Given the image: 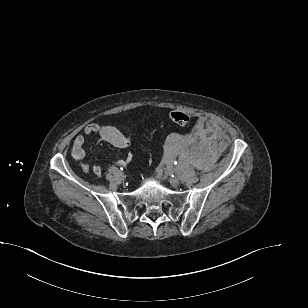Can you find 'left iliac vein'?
<instances>
[{
  "label": "left iliac vein",
  "mask_w": 308,
  "mask_h": 308,
  "mask_svg": "<svg viewBox=\"0 0 308 308\" xmlns=\"http://www.w3.org/2000/svg\"><path fill=\"white\" fill-rule=\"evenodd\" d=\"M169 182L172 186H178L180 181L177 177H170Z\"/></svg>",
  "instance_id": "4c4485c4"
}]
</instances>
